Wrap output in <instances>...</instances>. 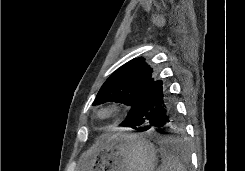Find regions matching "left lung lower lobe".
Returning a JSON list of instances; mask_svg holds the SVG:
<instances>
[{"label": "left lung lower lobe", "instance_id": "0a47b994", "mask_svg": "<svg viewBox=\"0 0 245 171\" xmlns=\"http://www.w3.org/2000/svg\"><path fill=\"white\" fill-rule=\"evenodd\" d=\"M176 122L175 105L162 81L155 80L140 93L121 126L131 127L138 132L157 127V132L165 133V130Z\"/></svg>", "mask_w": 245, "mask_h": 171}]
</instances>
